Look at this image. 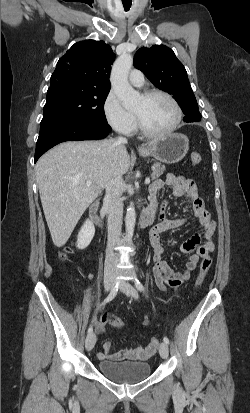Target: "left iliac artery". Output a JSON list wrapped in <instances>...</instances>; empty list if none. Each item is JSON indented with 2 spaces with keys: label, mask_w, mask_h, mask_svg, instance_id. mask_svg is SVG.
<instances>
[{
  "label": "left iliac artery",
  "mask_w": 250,
  "mask_h": 413,
  "mask_svg": "<svg viewBox=\"0 0 250 413\" xmlns=\"http://www.w3.org/2000/svg\"><path fill=\"white\" fill-rule=\"evenodd\" d=\"M134 284H135V287L139 290V291H144V286L142 285V283L138 280V279H135L134 280ZM164 342L166 343V344H169V339H168V337H164Z\"/></svg>",
  "instance_id": "1"
}]
</instances>
